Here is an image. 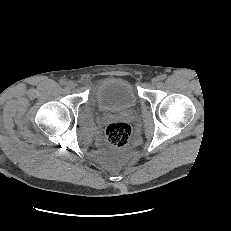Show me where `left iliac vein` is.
<instances>
[{
	"instance_id": "obj_1",
	"label": "left iliac vein",
	"mask_w": 231,
	"mask_h": 231,
	"mask_svg": "<svg viewBox=\"0 0 231 231\" xmlns=\"http://www.w3.org/2000/svg\"><path fill=\"white\" fill-rule=\"evenodd\" d=\"M158 82H159V78H158V77H155V78H153V79L151 80L152 85H157Z\"/></svg>"
}]
</instances>
